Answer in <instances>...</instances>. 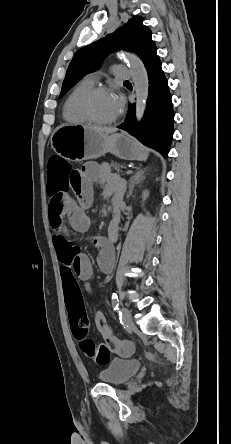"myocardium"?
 <instances>
[{"label": "myocardium", "mask_w": 231, "mask_h": 444, "mask_svg": "<svg viewBox=\"0 0 231 444\" xmlns=\"http://www.w3.org/2000/svg\"><path fill=\"white\" fill-rule=\"evenodd\" d=\"M110 93H111V90L109 88L103 87V86H97V87H92L84 94V96L82 97L81 102H80V111L88 122L96 124V125H111V124H114L118 121L119 114H117L116 117H114L110 120L100 121V120H97L93 116L92 111H91V101L96 95L110 94Z\"/></svg>", "instance_id": "myocardium-1"}]
</instances>
